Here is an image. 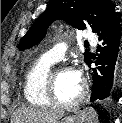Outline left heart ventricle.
<instances>
[{
  "instance_id": "1",
  "label": "left heart ventricle",
  "mask_w": 122,
  "mask_h": 123,
  "mask_svg": "<svg viewBox=\"0 0 122 123\" xmlns=\"http://www.w3.org/2000/svg\"><path fill=\"white\" fill-rule=\"evenodd\" d=\"M82 80H79L73 70H60L56 74V94L62 101L74 99L80 92Z\"/></svg>"
}]
</instances>
